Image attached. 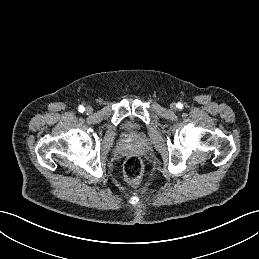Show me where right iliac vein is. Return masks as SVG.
I'll return each mask as SVG.
<instances>
[{"label": "right iliac vein", "mask_w": 259, "mask_h": 259, "mask_svg": "<svg viewBox=\"0 0 259 259\" xmlns=\"http://www.w3.org/2000/svg\"><path fill=\"white\" fill-rule=\"evenodd\" d=\"M93 111L92 107L88 106L85 110L86 114H91Z\"/></svg>", "instance_id": "right-iliac-vein-1"}]
</instances>
